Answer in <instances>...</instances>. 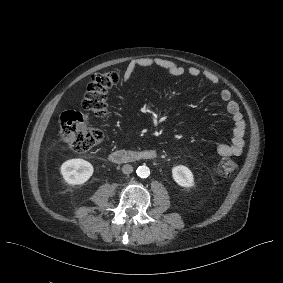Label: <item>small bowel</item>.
I'll list each match as a JSON object with an SVG mask.
<instances>
[{"label":"small bowel","instance_id":"small-bowel-1","mask_svg":"<svg viewBox=\"0 0 283 283\" xmlns=\"http://www.w3.org/2000/svg\"><path fill=\"white\" fill-rule=\"evenodd\" d=\"M152 67H158L163 70H166L170 74L174 76H181L184 73H188L192 77H199L203 76L206 80L213 84H217L219 82V79L216 75L209 73V72H201L196 67H189L187 70L177 64L176 62L161 58V57H142V58H136L131 60L123 74V80L124 82H127L132 74L135 72L138 68H152ZM219 97L222 102H224L226 106L227 112L232 117L234 128L232 133V138L229 143H220L217 145V152L219 155L223 157H230V156H239L241 155L244 147V136H245V130H246V124L243 119V116L240 112L239 106L236 101L232 99V95L229 90H222L219 94Z\"/></svg>","mask_w":283,"mask_h":283}]
</instances>
